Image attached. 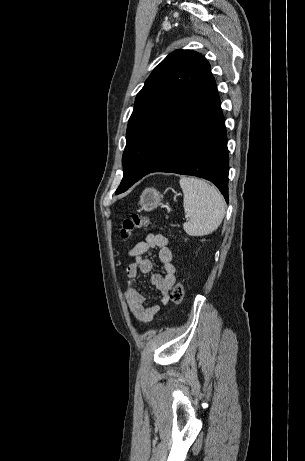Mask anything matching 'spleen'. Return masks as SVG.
I'll return each instance as SVG.
<instances>
[{"label": "spleen", "mask_w": 305, "mask_h": 461, "mask_svg": "<svg viewBox=\"0 0 305 461\" xmlns=\"http://www.w3.org/2000/svg\"><path fill=\"white\" fill-rule=\"evenodd\" d=\"M184 212L189 220L183 224L190 236H205L214 232L225 215L222 194L204 180L193 177L180 179Z\"/></svg>", "instance_id": "3e777b00"}]
</instances>
